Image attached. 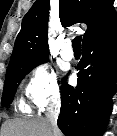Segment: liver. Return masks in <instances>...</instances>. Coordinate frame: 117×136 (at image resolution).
Returning a JSON list of instances; mask_svg holds the SVG:
<instances>
[{"label": "liver", "instance_id": "liver-1", "mask_svg": "<svg viewBox=\"0 0 117 136\" xmlns=\"http://www.w3.org/2000/svg\"><path fill=\"white\" fill-rule=\"evenodd\" d=\"M1 136H52L51 125L47 119L6 121L2 127ZM57 136H62L60 131Z\"/></svg>", "mask_w": 117, "mask_h": 136}]
</instances>
